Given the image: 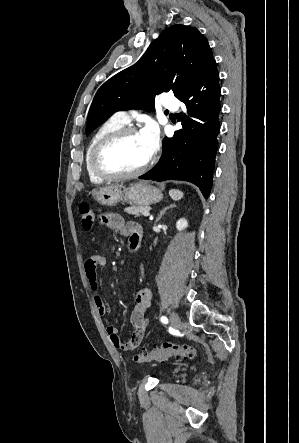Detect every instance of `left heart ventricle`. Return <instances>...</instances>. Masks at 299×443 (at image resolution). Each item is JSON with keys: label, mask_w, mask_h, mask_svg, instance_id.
Wrapping results in <instances>:
<instances>
[{"label": "left heart ventricle", "mask_w": 299, "mask_h": 443, "mask_svg": "<svg viewBox=\"0 0 299 443\" xmlns=\"http://www.w3.org/2000/svg\"><path fill=\"white\" fill-rule=\"evenodd\" d=\"M148 157L140 134H132L107 148L103 153L102 162L111 171L127 172L142 166Z\"/></svg>", "instance_id": "1"}]
</instances>
